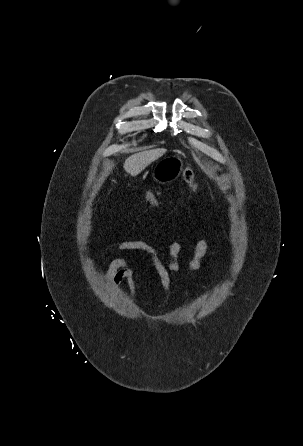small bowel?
<instances>
[{"label":"small bowel","mask_w":303,"mask_h":446,"mask_svg":"<svg viewBox=\"0 0 303 446\" xmlns=\"http://www.w3.org/2000/svg\"><path fill=\"white\" fill-rule=\"evenodd\" d=\"M209 242L207 239H200L196 242L193 249V260L188 266L186 272L197 270L207 252ZM119 250H138L145 253L151 260V263L160 279L163 291L168 294L171 290V278L173 275H182L184 272L180 269L177 257L182 249L179 241H174L169 247V259L164 263L156 250L144 241L131 240L117 243ZM105 282L115 288L122 282H126L129 290L130 301L134 302L136 298V287L133 278V271L126 259L117 258L113 260L105 273Z\"/></svg>","instance_id":"small-bowel-1"}]
</instances>
